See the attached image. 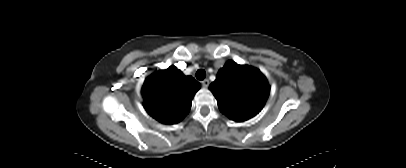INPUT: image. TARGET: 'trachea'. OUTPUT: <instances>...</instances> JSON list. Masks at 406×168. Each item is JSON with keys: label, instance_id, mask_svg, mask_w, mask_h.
I'll use <instances>...</instances> for the list:
<instances>
[{"label": "trachea", "instance_id": "1", "mask_svg": "<svg viewBox=\"0 0 406 168\" xmlns=\"http://www.w3.org/2000/svg\"><path fill=\"white\" fill-rule=\"evenodd\" d=\"M205 77H206V72H205V70L199 69V70L196 72V78H197L198 80H203Z\"/></svg>", "mask_w": 406, "mask_h": 168}]
</instances>
